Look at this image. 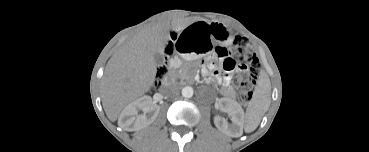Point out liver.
<instances>
[{"label":"liver","instance_id":"obj_1","mask_svg":"<svg viewBox=\"0 0 369 152\" xmlns=\"http://www.w3.org/2000/svg\"><path fill=\"white\" fill-rule=\"evenodd\" d=\"M181 30L175 21L148 25L136 33L107 62L101 80L102 105L108 119L116 121L121 110L147 93L157 74L156 55H163L171 40L169 30Z\"/></svg>","mask_w":369,"mask_h":152}]
</instances>
